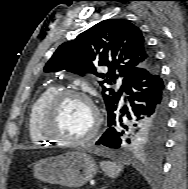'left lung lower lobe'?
<instances>
[{
    "mask_svg": "<svg viewBox=\"0 0 188 189\" xmlns=\"http://www.w3.org/2000/svg\"><path fill=\"white\" fill-rule=\"evenodd\" d=\"M123 91L129 104L118 107L108 115V129L96 142L109 148H126L132 130L143 125H166L168 99L156 60L136 70L127 80Z\"/></svg>",
    "mask_w": 188,
    "mask_h": 189,
    "instance_id": "1",
    "label": "left lung lower lobe"
}]
</instances>
